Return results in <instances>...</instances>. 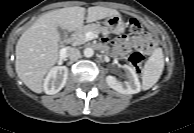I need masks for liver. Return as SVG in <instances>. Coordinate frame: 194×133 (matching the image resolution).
Here are the masks:
<instances>
[{
  "label": "liver",
  "instance_id": "1",
  "mask_svg": "<svg viewBox=\"0 0 194 133\" xmlns=\"http://www.w3.org/2000/svg\"><path fill=\"white\" fill-rule=\"evenodd\" d=\"M85 8L67 7L39 17L19 38L15 50V69L20 80L33 92H43L46 74L58 62L60 35L58 27L73 32L82 27ZM88 23L120 15L111 8L94 6L87 9Z\"/></svg>",
  "mask_w": 194,
  "mask_h": 133
}]
</instances>
